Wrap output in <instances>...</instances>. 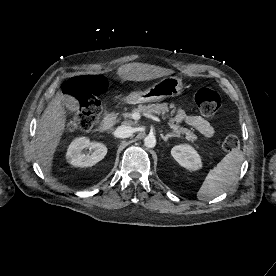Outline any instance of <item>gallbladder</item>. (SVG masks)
I'll use <instances>...</instances> for the list:
<instances>
[{
	"instance_id": "obj_1",
	"label": "gallbladder",
	"mask_w": 276,
	"mask_h": 276,
	"mask_svg": "<svg viewBox=\"0 0 276 276\" xmlns=\"http://www.w3.org/2000/svg\"><path fill=\"white\" fill-rule=\"evenodd\" d=\"M66 106L72 111H76L79 108L78 101L73 97L71 100L66 101Z\"/></svg>"
}]
</instances>
